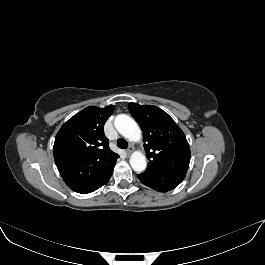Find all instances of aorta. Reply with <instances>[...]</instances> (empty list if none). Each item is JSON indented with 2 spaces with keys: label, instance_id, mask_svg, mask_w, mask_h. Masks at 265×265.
I'll return each mask as SVG.
<instances>
[{
  "label": "aorta",
  "instance_id": "obj_1",
  "mask_svg": "<svg viewBox=\"0 0 265 265\" xmlns=\"http://www.w3.org/2000/svg\"><path fill=\"white\" fill-rule=\"evenodd\" d=\"M115 128L117 131L133 142H138L141 139V130L134 119L125 114H120L115 118ZM130 165L136 172H142L147 167L145 155L140 151H135L130 157Z\"/></svg>",
  "mask_w": 265,
  "mask_h": 265
}]
</instances>
